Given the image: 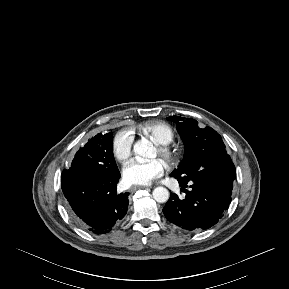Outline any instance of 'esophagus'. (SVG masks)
<instances>
[{"label":"esophagus","instance_id":"1","mask_svg":"<svg viewBox=\"0 0 289 289\" xmlns=\"http://www.w3.org/2000/svg\"><path fill=\"white\" fill-rule=\"evenodd\" d=\"M141 188H145V187H144V186H132V187L130 188V191H131V192H135L136 190L141 189Z\"/></svg>","mask_w":289,"mask_h":289}]
</instances>
